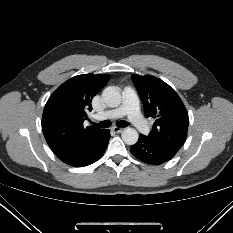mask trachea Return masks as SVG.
Here are the masks:
<instances>
[{
	"label": "trachea",
	"instance_id": "trachea-1",
	"mask_svg": "<svg viewBox=\"0 0 233 233\" xmlns=\"http://www.w3.org/2000/svg\"><path fill=\"white\" fill-rule=\"evenodd\" d=\"M117 125L120 127H127L128 122L126 121H118ZM94 126L100 127V128H108L111 126V122L109 120L101 121L99 123H94Z\"/></svg>",
	"mask_w": 233,
	"mask_h": 233
}]
</instances>
